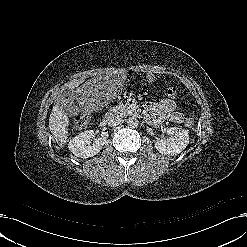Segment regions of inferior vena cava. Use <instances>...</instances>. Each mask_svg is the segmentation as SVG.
<instances>
[{"mask_svg": "<svg viewBox=\"0 0 247 247\" xmlns=\"http://www.w3.org/2000/svg\"><path fill=\"white\" fill-rule=\"evenodd\" d=\"M123 119L118 117V116H114V115H108V125L109 126H117L121 123H123Z\"/></svg>", "mask_w": 247, "mask_h": 247, "instance_id": "obj_1", "label": "inferior vena cava"}]
</instances>
